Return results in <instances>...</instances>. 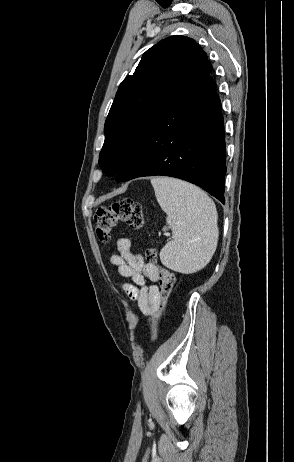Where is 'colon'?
I'll return each instance as SVG.
<instances>
[{
	"mask_svg": "<svg viewBox=\"0 0 294 462\" xmlns=\"http://www.w3.org/2000/svg\"><path fill=\"white\" fill-rule=\"evenodd\" d=\"M95 230L101 242H108L113 230L119 222L133 228L139 229L144 224L141 206L132 199H123L111 203L107 207L99 208L94 217ZM147 260L155 265L158 254L155 249H148ZM160 303L157 311L150 319V333L152 340L157 337V327L161 312L175 286L174 274L164 268L158 270Z\"/></svg>",
	"mask_w": 294,
	"mask_h": 462,
	"instance_id": "5ec220e1",
	"label": "colon"
}]
</instances>
